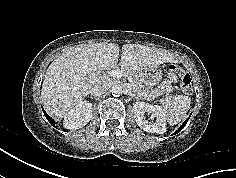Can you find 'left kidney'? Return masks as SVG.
Wrapping results in <instances>:
<instances>
[{
  "instance_id": "1",
  "label": "left kidney",
  "mask_w": 236,
  "mask_h": 178,
  "mask_svg": "<svg viewBox=\"0 0 236 178\" xmlns=\"http://www.w3.org/2000/svg\"><path fill=\"white\" fill-rule=\"evenodd\" d=\"M145 112L156 118L155 122L145 119ZM133 114L138 126L146 132L163 134L166 132V115L164 109L159 105H151L146 102H135Z\"/></svg>"
}]
</instances>
